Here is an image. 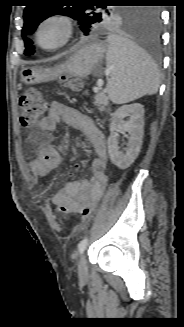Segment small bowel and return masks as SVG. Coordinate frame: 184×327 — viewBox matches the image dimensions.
Wrapping results in <instances>:
<instances>
[{
	"label": "small bowel",
	"mask_w": 184,
	"mask_h": 327,
	"mask_svg": "<svg viewBox=\"0 0 184 327\" xmlns=\"http://www.w3.org/2000/svg\"><path fill=\"white\" fill-rule=\"evenodd\" d=\"M63 122L77 130L86 137L94 151L91 176L81 181H65L61 188L51 196L55 206H67L78 211L80 206L87 203H96L107 184V146L105 136L95 125L93 120L80 113L71 106L54 100L50 103L48 114L41 120L38 129L41 132H53ZM61 163V155L53 146L40 143L37 156L30 163V170L37 180L45 179L52 171L56 170ZM70 170H81L80 159H70ZM70 176L72 173H66ZM69 214V211L66 213Z\"/></svg>",
	"instance_id": "obj_1"
}]
</instances>
